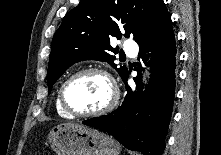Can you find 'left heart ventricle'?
Segmentation results:
<instances>
[{
    "label": "left heart ventricle",
    "mask_w": 221,
    "mask_h": 155,
    "mask_svg": "<svg viewBox=\"0 0 221 155\" xmlns=\"http://www.w3.org/2000/svg\"><path fill=\"white\" fill-rule=\"evenodd\" d=\"M110 98V87L106 79L98 74H85L74 79L66 90L68 105L77 112H92L106 105Z\"/></svg>",
    "instance_id": "obj_1"
}]
</instances>
